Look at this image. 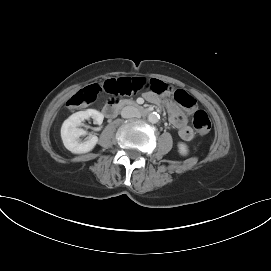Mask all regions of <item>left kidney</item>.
<instances>
[{"mask_svg": "<svg viewBox=\"0 0 271 271\" xmlns=\"http://www.w3.org/2000/svg\"><path fill=\"white\" fill-rule=\"evenodd\" d=\"M178 149L181 155L188 154V147L185 143H182V142L178 143Z\"/></svg>", "mask_w": 271, "mask_h": 271, "instance_id": "obj_1", "label": "left kidney"}]
</instances>
